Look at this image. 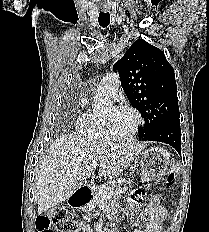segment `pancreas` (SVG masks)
Instances as JSON below:
<instances>
[{
    "mask_svg": "<svg viewBox=\"0 0 209 232\" xmlns=\"http://www.w3.org/2000/svg\"><path fill=\"white\" fill-rule=\"evenodd\" d=\"M131 182V180L127 181L125 179H121L101 187L94 192L93 200L86 207H84L83 210L89 212L94 210L96 206H99L104 201L103 197L108 193H114L116 195L124 194L128 189L127 185H130ZM114 203V201L111 202L112 205H114Z\"/></svg>",
    "mask_w": 209,
    "mask_h": 232,
    "instance_id": "pancreas-1",
    "label": "pancreas"
}]
</instances>
